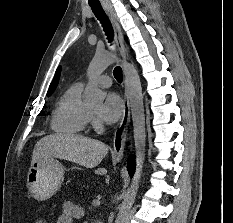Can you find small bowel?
Here are the masks:
<instances>
[{
    "label": "small bowel",
    "instance_id": "small-bowel-1",
    "mask_svg": "<svg viewBox=\"0 0 233 223\" xmlns=\"http://www.w3.org/2000/svg\"><path fill=\"white\" fill-rule=\"evenodd\" d=\"M85 216V210L67 200L64 201L61 208V213L57 217L56 223H73L74 219H81Z\"/></svg>",
    "mask_w": 233,
    "mask_h": 223
}]
</instances>
